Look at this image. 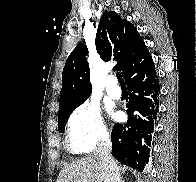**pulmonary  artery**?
Instances as JSON below:
<instances>
[{
  "label": "pulmonary artery",
  "instance_id": "1",
  "mask_svg": "<svg viewBox=\"0 0 196 182\" xmlns=\"http://www.w3.org/2000/svg\"><path fill=\"white\" fill-rule=\"evenodd\" d=\"M106 92L113 99H119L121 97L122 91L117 85L116 78H111L107 81Z\"/></svg>",
  "mask_w": 196,
  "mask_h": 182
}]
</instances>
